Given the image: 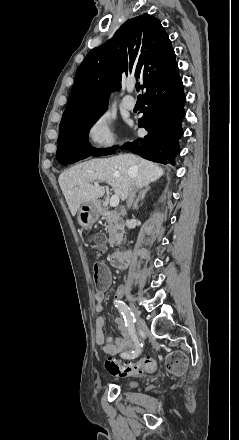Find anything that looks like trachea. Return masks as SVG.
Segmentation results:
<instances>
[{
    "label": "trachea",
    "instance_id": "1",
    "mask_svg": "<svg viewBox=\"0 0 239 440\" xmlns=\"http://www.w3.org/2000/svg\"><path fill=\"white\" fill-rule=\"evenodd\" d=\"M135 87H136V90H137V91H139V90H140V88H141L139 84H136V86H135ZM140 97H141V96L139 95V96H138V98H140Z\"/></svg>",
    "mask_w": 239,
    "mask_h": 440
}]
</instances>
